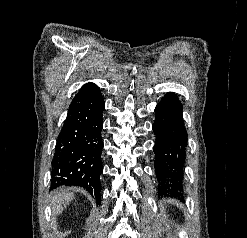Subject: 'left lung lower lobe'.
<instances>
[{
  "mask_svg": "<svg viewBox=\"0 0 247 238\" xmlns=\"http://www.w3.org/2000/svg\"><path fill=\"white\" fill-rule=\"evenodd\" d=\"M182 109L178 97L172 93L166 94L155 108L156 120L152 128L157 142L153 151L157 180L163 193H172L183 188L187 132Z\"/></svg>",
  "mask_w": 247,
  "mask_h": 238,
  "instance_id": "obj_1",
  "label": "left lung lower lobe"
}]
</instances>
